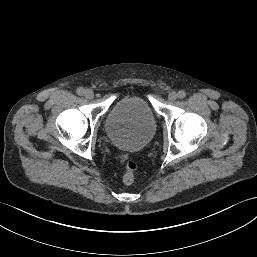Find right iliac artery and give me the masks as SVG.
<instances>
[{"mask_svg": "<svg viewBox=\"0 0 257 257\" xmlns=\"http://www.w3.org/2000/svg\"><path fill=\"white\" fill-rule=\"evenodd\" d=\"M84 91H85V90H84L83 88H78V89H77V94H78V95H83V94H84Z\"/></svg>", "mask_w": 257, "mask_h": 257, "instance_id": "82829eb1", "label": "right iliac artery"}]
</instances>
